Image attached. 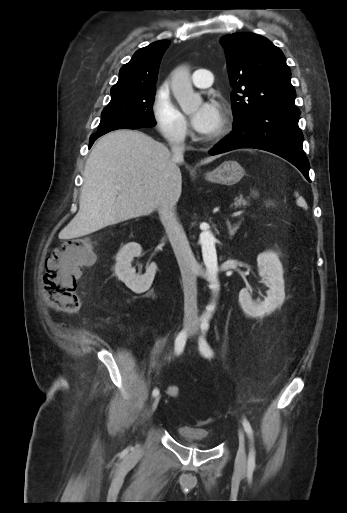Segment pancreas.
<instances>
[{"label":"pancreas","mask_w":347,"mask_h":513,"mask_svg":"<svg viewBox=\"0 0 347 513\" xmlns=\"http://www.w3.org/2000/svg\"><path fill=\"white\" fill-rule=\"evenodd\" d=\"M244 202H245V201H243V200H239V199H237V200L235 201V203H234L235 208H239V207H241V206H242V204H243ZM241 219L243 220L244 218H243V217H241Z\"/></svg>","instance_id":"pancreas-1"}]
</instances>
